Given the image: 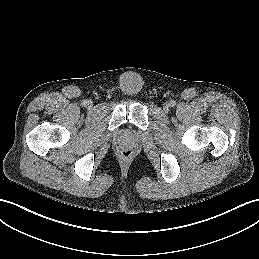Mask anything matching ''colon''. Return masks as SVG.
<instances>
[{
    "label": "colon",
    "instance_id": "obj_1",
    "mask_svg": "<svg viewBox=\"0 0 259 259\" xmlns=\"http://www.w3.org/2000/svg\"><path fill=\"white\" fill-rule=\"evenodd\" d=\"M121 156L124 158V159H129L131 156H132V151L129 150V149H125L121 152Z\"/></svg>",
    "mask_w": 259,
    "mask_h": 259
}]
</instances>
